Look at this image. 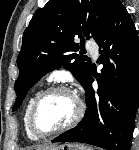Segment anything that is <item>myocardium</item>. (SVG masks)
I'll return each instance as SVG.
<instances>
[{"mask_svg": "<svg viewBox=\"0 0 139 150\" xmlns=\"http://www.w3.org/2000/svg\"><path fill=\"white\" fill-rule=\"evenodd\" d=\"M54 92H67V93H70L71 95H73V97L75 98L76 103H77V109H76V112H75L73 118L71 119V121L69 123H67L66 125L59 127L57 129H54V130H50V131H41L36 126V122H35L36 113H37L38 107H39L40 103L42 102V100L46 96H48L49 94L54 93ZM84 110H85V106H84L83 101L71 88H69L65 85L49 86L39 92V94L36 96V98L34 99L32 105H31L29 115H28L29 129L38 138H46V137H49L52 135L63 133L65 131L72 129L80 122V120L83 117Z\"/></svg>", "mask_w": 139, "mask_h": 150, "instance_id": "obj_1", "label": "myocardium"}]
</instances>
